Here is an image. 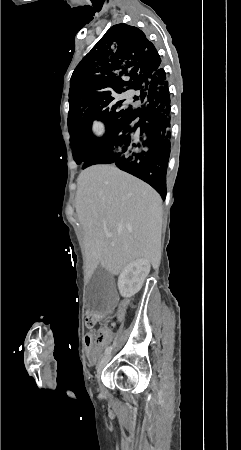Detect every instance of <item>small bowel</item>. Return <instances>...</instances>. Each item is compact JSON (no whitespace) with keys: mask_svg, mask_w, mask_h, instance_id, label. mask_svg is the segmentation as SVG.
I'll use <instances>...</instances> for the list:
<instances>
[{"mask_svg":"<svg viewBox=\"0 0 241 450\" xmlns=\"http://www.w3.org/2000/svg\"><path fill=\"white\" fill-rule=\"evenodd\" d=\"M115 315L117 318L120 319L123 317L124 314L122 311L119 310L116 312ZM108 330L109 329L107 327H104V328L101 327L98 329L97 332L99 334L98 335L99 340H101V341L106 340V338L108 336ZM96 336L97 335L95 333L91 332V333L87 334L84 338V343L86 346L88 358L91 363H95L97 361V359L100 355V352H101L99 347H96V348L94 347V341L96 339Z\"/></svg>","mask_w":241,"mask_h":450,"instance_id":"1","label":"small bowel"}]
</instances>
